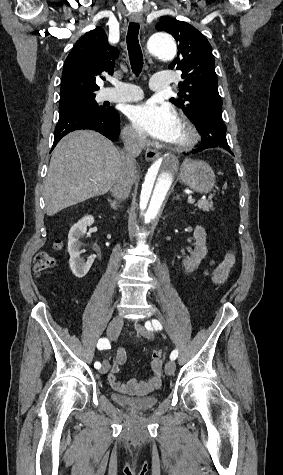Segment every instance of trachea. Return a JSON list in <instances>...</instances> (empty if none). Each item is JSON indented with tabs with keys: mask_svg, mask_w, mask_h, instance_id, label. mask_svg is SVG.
Returning a JSON list of instances; mask_svg holds the SVG:
<instances>
[{
	"mask_svg": "<svg viewBox=\"0 0 283 475\" xmlns=\"http://www.w3.org/2000/svg\"><path fill=\"white\" fill-rule=\"evenodd\" d=\"M138 36L139 23L131 22L128 27L126 42L131 69L136 76H139L143 68V54Z\"/></svg>",
	"mask_w": 283,
	"mask_h": 475,
	"instance_id": "3493384b",
	"label": "trachea"
}]
</instances>
